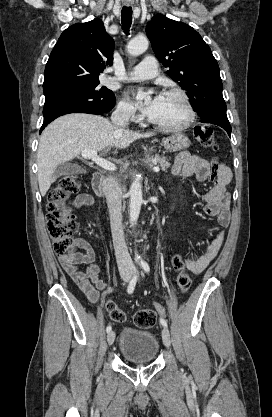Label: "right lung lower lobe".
Masks as SVG:
<instances>
[{"mask_svg":"<svg viewBox=\"0 0 272 417\" xmlns=\"http://www.w3.org/2000/svg\"><path fill=\"white\" fill-rule=\"evenodd\" d=\"M113 107H114V105L110 108H107V109H98V108L93 107V106L85 105V106H69V107L63 108L61 110L56 111L51 116L45 118L44 123H43V125L40 129V133L51 121H53L54 119H56L59 116L69 114V113H78V112L101 115L103 113L109 112Z\"/></svg>","mask_w":272,"mask_h":417,"instance_id":"obj_1","label":"right lung lower lobe"}]
</instances>
